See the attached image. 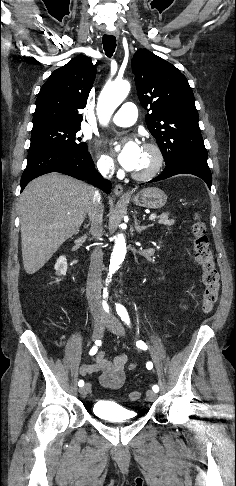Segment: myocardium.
Here are the masks:
<instances>
[{
  "label": "myocardium",
  "mask_w": 236,
  "mask_h": 486,
  "mask_svg": "<svg viewBox=\"0 0 236 486\" xmlns=\"http://www.w3.org/2000/svg\"><path fill=\"white\" fill-rule=\"evenodd\" d=\"M144 149L151 151L154 155V163L152 167L145 172H132L131 175L135 180L148 181L156 177L161 171L164 164V155L161 148L153 142H147L143 145Z\"/></svg>",
  "instance_id": "obj_1"
}]
</instances>
